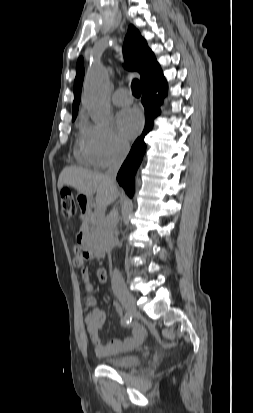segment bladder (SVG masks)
Masks as SVG:
<instances>
[{
	"label": "bladder",
	"mask_w": 253,
	"mask_h": 413,
	"mask_svg": "<svg viewBox=\"0 0 253 413\" xmlns=\"http://www.w3.org/2000/svg\"><path fill=\"white\" fill-rule=\"evenodd\" d=\"M141 360V356L137 354H127L115 357L102 359V362L108 366L115 368H127L137 365Z\"/></svg>",
	"instance_id": "bladder-1"
}]
</instances>
